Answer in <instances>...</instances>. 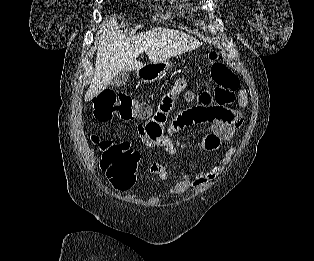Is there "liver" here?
Listing matches in <instances>:
<instances>
[{
  "instance_id": "1",
  "label": "liver",
  "mask_w": 314,
  "mask_h": 261,
  "mask_svg": "<svg viewBox=\"0 0 314 261\" xmlns=\"http://www.w3.org/2000/svg\"><path fill=\"white\" fill-rule=\"evenodd\" d=\"M200 46L198 40L183 32L160 27L128 38L119 29L116 17L110 16L98 43L95 72L84 100L90 101L105 90L119 72L143 67L137 60L143 52L150 62H160Z\"/></svg>"
}]
</instances>
